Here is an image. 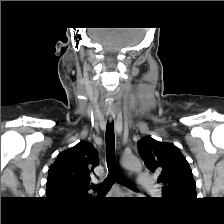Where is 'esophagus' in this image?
I'll list each match as a JSON object with an SVG mask.
<instances>
[{"label": "esophagus", "instance_id": "1", "mask_svg": "<svg viewBox=\"0 0 224 224\" xmlns=\"http://www.w3.org/2000/svg\"><path fill=\"white\" fill-rule=\"evenodd\" d=\"M124 189H125V192H126V194L127 195H132V190L131 189H129L128 187H124Z\"/></svg>", "mask_w": 224, "mask_h": 224}]
</instances>
